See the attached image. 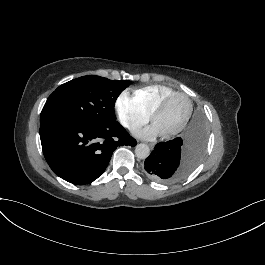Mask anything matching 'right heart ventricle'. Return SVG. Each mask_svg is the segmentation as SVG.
<instances>
[{
	"label": "right heart ventricle",
	"instance_id": "right-heart-ventricle-1",
	"mask_svg": "<svg viewBox=\"0 0 265 265\" xmlns=\"http://www.w3.org/2000/svg\"><path fill=\"white\" fill-rule=\"evenodd\" d=\"M173 92L172 89L162 86L153 85L134 91L135 98L141 101L145 107L152 112L155 104L167 94Z\"/></svg>",
	"mask_w": 265,
	"mask_h": 265
}]
</instances>
